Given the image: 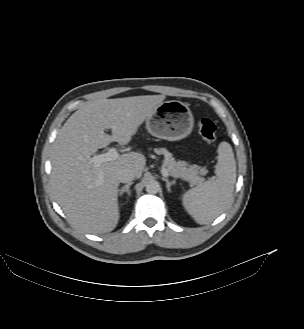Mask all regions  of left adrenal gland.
<instances>
[{"label":"left adrenal gland","instance_id":"left-adrenal-gland-1","mask_svg":"<svg viewBox=\"0 0 304 329\" xmlns=\"http://www.w3.org/2000/svg\"><path fill=\"white\" fill-rule=\"evenodd\" d=\"M162 180L166 182L168 192H171V186L175 184V181H169L167 178L162 177Z\"/></svg>","mask_w":304,"mask_h":329}]
</instances>
